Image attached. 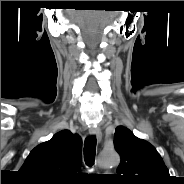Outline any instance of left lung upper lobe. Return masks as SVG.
<instances>
[{"instance_id":"obj_1","label":"left lung upper lobe","mask_w":184,"mask_h":184,"mask_svg":"<svg viewBox=\"0 0 184 184\" xmlns=\"http://www.w3.org/2000/svg\"><path fill=\"white\" fill-rule=\"evenodd\" d=\"M114 146L121 157L114 178L122 184H170L169 171L157 150L124 126L115 130Z\"/></svg>"}]
</instances>
